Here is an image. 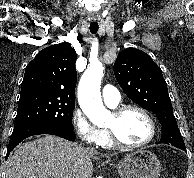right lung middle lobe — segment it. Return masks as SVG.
Masks as SVG:
<instances>
[{"label": "right lung middle lobe", "mask_w": 194, "mask_h": 178, "mask_svg": "<svg viewBox=\"0 0 194 178\" xmlns=\"http://www.w3.org/2000/svg\"><path fill=\"white\" fill-rule=\"evenodd\" d=\"M75 100L61 97H34L19 100L14 125L41 123L72 130Z\"/></svg>", "instance_id": "1"}]
</instances>
